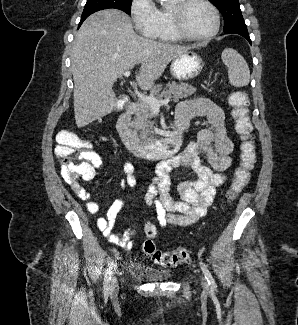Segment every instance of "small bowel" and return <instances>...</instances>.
Returning <instances> with one entry per match:
<instances>
[{
    "label": "small bowel",
    "mask_w": 298,
    "mask_h": 325,
    "mask_svg": "<svg viewBox=\"0 0 298 325\" xmlns=\"http://www.w3.org/2000/svg\"><path fill=\"white\" fill-rule=\"evenodd\" d=\"M195 109V115L206 116L211 127L199 131L197 140L190 143L181 153L161 162L144 195L146 204L153 208L160 228L168 226H186L203 217L207 208L213 203L216 190L227 181L225 171L231 166L233 142L225 125L224 111L209 99L196 97L181 103ZM204 158L208 165L202 162ZM185 168L194 175L191 180L178 184L177 191L181 197L175 201L170 195V172L175 168ZM134 165L127 161L122 166L124 177L121 180L124 188L136 185ZM73 192L86 202V210L95 214L99 205L91 200L90 193L81 185H71ZM124 206L123 200H116L109 207L105 217L97 220V227L103 236L114 245L124 249L134 246L132 236L136 229L124 233L113 232L118 213Z\"/></svg>",
    "instance_id": "small-bowel-1"
}]
</instances>
